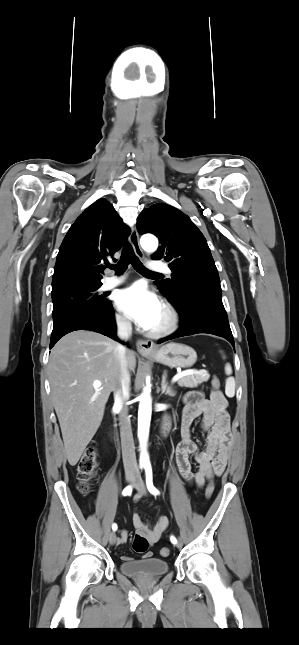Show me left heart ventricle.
I'll return each mask as SVG.
<instances>
[{
	"mask_svg": "<svg viewBox=\"0 0 299 645\" xmlns=\"http://www.w3.org/2000/svg\"><path fill=\"white\" fill-rule=\"evenodd\" d=\"M163 321H164V316H163V313L161 311V313H160L159 317L157 318L156 322L154 323V325L150 329H156V328L160 327L162 325Z\"/></svg>",
	"mask_w": 299,
	"mask_h": 645,
	"instance_id": "b2bd125f",
	"label": "left heart ventricle"
}]
</instances>
